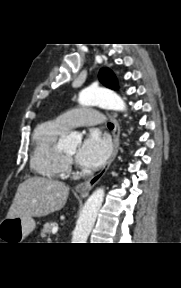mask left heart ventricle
I'll list each match as a JSON object with an SVG mask.
<instances>
[{"instance_id": "1", "label": "left heart ventricle", "mask_w": 181, "mask_h": 288, "mask_svg": "<svg viewBox=\"0 0 181 288\" xmlns=\"http://www.w3.org/2000/svg\"><path fill=\"white\" fill-rule=\"evenodd\" d=\"M75 153V148H71L65 151V154L72 156Z\"/></svg>"}]
</instances>
